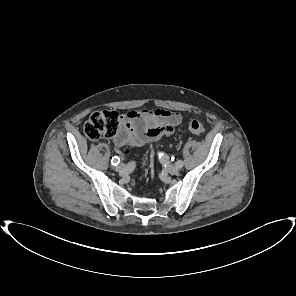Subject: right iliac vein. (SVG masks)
I'll list each match as a JSON object with an SVG mask.
<instances>
[{"instance_id": "1", "label": "right iliac vein", "mask_w": 296, "mask_h": 296, "mask_svg": "<svg viewBox=\"0 0 296 296\" xmlns=\"http://www.w3.org/2000/svg\"><path fill=\"white\" fill-rule=\"evenodd\" d=\"M125 168L124 164H119L117 167H116V170L117 171H122L123 169Z\"/></svg>"}]
</instances>
